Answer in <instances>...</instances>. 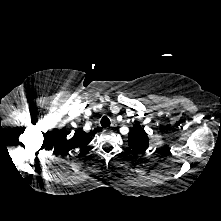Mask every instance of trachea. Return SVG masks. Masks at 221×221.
<instances>
[{
  "mask_svg": "<svg viewBox=\"0 0 221 221\" xmlns=\"http://www.w3.org/2000/svg\"><path fill=\"white\" fill-rule=\"evenodd\" d=\"M110 120H109V118L107 117V116H104L102 119H101V126L103 127V128H105V127H110Z\"/></svg>",
  "mask_w": 221,
  "mask_h": 221,
  "instance_id": "3493384b",
  "label": "trachea"
}]
</instances>
